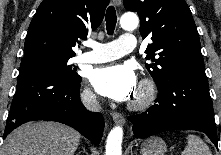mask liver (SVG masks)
Instances as JSON below:
<instances>
[{"instance_id": "obj_1", "label": "liver", "mask_w": 221, "mask_h": 155, "mask_svg": "<svg viewBox=\"0 0 221 155\" xmlns=\"http://www.w3.org/2000/svg\"><path fill=\"white\" fill-rule=\"evenodd\" d=\"M81 135L56 122H29L10 133L2 155H74Z\"/></svg>"}]
</instances>
